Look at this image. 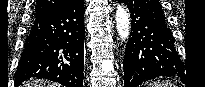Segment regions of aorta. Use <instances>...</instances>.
<instances>
[{
    "label": "aorta",
    "instance_id": "aorta-1",
    "mask_svg": "<svg viewBox=\"0 0 205 87\" xmlns=\"http://www.w3.org/2000/svg\"><path fill=\"white\" fill-rule=\"evenodd\" d=\"M116 28L118 35L122 41H125L129 38L130 35V16L127 9L119 5L116 10L115 15Z\"/></svg>",
    "mask_w": 205,
    "mask_h": 87
}]
</instances>
